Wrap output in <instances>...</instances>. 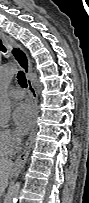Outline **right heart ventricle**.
<instances>
[{
    "label": "right heart ventricle",
    "mask_w": 89,
    "mask_h": 203,
    "mask_svg": "<svg viewBox=\"0 0 89 203\" xmlns=\"http://www.w3.org/2000/svg\"><path fill=\"white\" fill-rule=\"evenodd\" d=\"M13 153L14 151L5 145L0 134V159L8 158L13 155Z\"/></svg>",
    "instance_id": "right-heart-ventricle-1"
}]
</instances>
